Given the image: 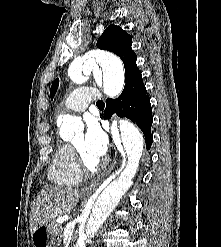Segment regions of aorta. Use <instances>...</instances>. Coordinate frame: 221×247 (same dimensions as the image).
Here are the masks:
<instances>
[{
    "instance_id": "obj_1",
    "label": "aorta",
    "mask_w": 221,
    "mask_h": 247,
    "mask_svg": "<svg viewBox=\"0 0 221 247\" xmlns=\"http://www.w3.org/2000/svg\"><path fill=\"white\" fill-rule=\"evenodd\" d=\"M103 78L104 86L111 97L118 96L124 87V71L121 61L102 51H93L69 67V75L73 79H80L83 75H89L91 71ZM60 133L62 136L72 138L74 132L83 128L82 121L71 115H63ZM122 145L127 155L125 168L98 196L92 212L85 225V235L93 236L113 209L117 206L122 196L129 190L132 180L138 170L139 161L143 152V136L136 126L127 121H120ZM80 247H85L81 243Z\"/></svg>"
}]
</instances>
